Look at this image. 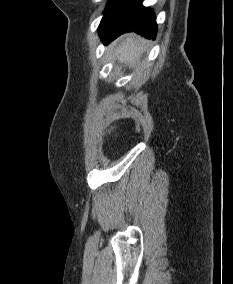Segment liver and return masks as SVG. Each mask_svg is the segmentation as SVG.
I'll use <instances>...</instances> for the list:
<instances>
[{
    "instance_id": "1",
    "label": "liver",
    "mask_w": 233,
    "mask_h": 284,
    "mask_svg": "<svg viewBox=\"0 0 233 284\" xmlns=\"http://www.w3.org/2000/svg\"><path fill=\"white\" fill-rule=\"evenodd\" d=\"M146 41L139 36L130 35L121 42L115 50V56L120 62L134 63L140 56Z\"/></svg>"
}]
</instances>
